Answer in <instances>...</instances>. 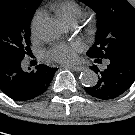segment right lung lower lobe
I'll return each instance as SVG.
<instances>
[{"label": "right lung lower lobe", "mask_w": 135, "mask_h": 135, "mask_svg": "<svg viewBox=\"0 0 135 135\" xmlns=\"http://www.w3.org/2000/svg\"><path fill=\"white\" fill-rule=\"evenodd\" d=\"M22 60L23 58L0 51V90L19 102L40 97L47 90L57 70L38 65L36 71H25Z\"/></svg>", "instance_id": "1"}]
</instances>
